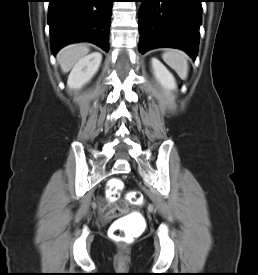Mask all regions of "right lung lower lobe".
<instances>
[{"label":"right lung lower lobe","mask_w":258,"mask_h":275,"mask_svg":"<svg viewBox=\"0 0 258 275\" xmlns=\"http://www.w3.org/2000/svg\"><path fill=\"white\" fill-rule=\"evenodd\" d=\"M112 3L113 0H49L53 54L73 42H91L108 52Z\"/></svg>","instance_id":"right-lung-lower-lobe-1"}]
</instances>
